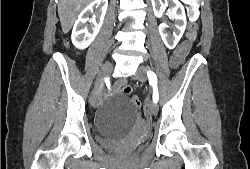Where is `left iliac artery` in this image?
Wrapping results in <instances>:
<instances>
[{
  "mask_svg": "<svg viewBox=\"0 0 250 169\" xmlns=\"http://www.w3.org/2000/svg\"><path fill=\"white\" fill-rule=\"evenodd\" d=\"M147 76L149 79L150 85L153 87V102L157 103L159 100V93L157 88V76L153 71H148Z\"/></svg>",
  "mask_w": 250,
  "mask_h": 169,
  "instance_id": "1",
  "label": "left iliac artery"
}]
</instances>
